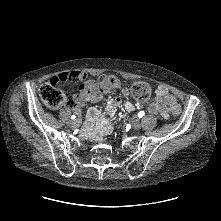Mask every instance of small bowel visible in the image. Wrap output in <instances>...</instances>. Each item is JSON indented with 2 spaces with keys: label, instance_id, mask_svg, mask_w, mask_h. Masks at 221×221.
<instances>
[{
  "label": "small bowel",
  "instance_id": "1",
  "mask_svg": "<svg viewBox=\"0 0 221 221\" xmlns=\"http://www.w3.org/2000/svg\"><path fill=\"white\" fill-rule=\"evenodd\" d=\"M87 78L86 73L79 71L63 72L56 76L51 75L48 78V82L52 86H57L59 83L64 82H79ZM124 95H128V90L126 88L122 89ZM173 97L168 89L159 85L154 89L153 100L149 105V112L153 115L159 116L161 118L167 119L170 111L167 104L166 98ZM101 98L98 91L97 84L88 80L81 86V93L76 96L75 106L73 111L77 114L80 113V107L85 106L90 102H97ZM121 104V99L119 97H110L107 100L105 111L106 114H102L98 109L91 108L86 115V132L95 141L104 142L106 137L110 135L113 131L112 116ZM127 112L132 113L135 111V104L131 101H127L124 105Z\"/></svg>",
  "mask_w": 221,
  "mask_h": 221
}]
</instances>
